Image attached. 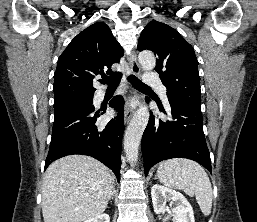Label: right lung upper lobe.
<instances>
[{
  "label": "right lung upper lobe",
  "mask_w": 257,
  "mask_h": 222,
  "mask_svg": "<svg viewBox=\"0 0 257 222\" xmlns=\"http://www.w3.org/2000/svg\"><path fill=\"white\" fill-rule=\"evenodd\" d=\"M124 50L110 28L97 22L83 30L60 55L54 74V103L93 97L95 75L111 74V65L118 63Z\"/></svg>",
  "instance_id": "1"
}]
</instances>
